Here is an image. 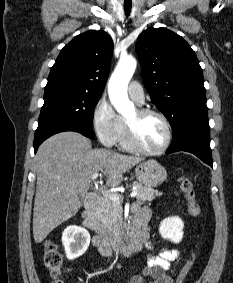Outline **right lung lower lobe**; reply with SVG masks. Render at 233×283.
I'll return each instance as SVG.
<instances>
[{"mask_svg":"<svg viewBox=\"0 0 233 283\" xmlns=\"http://www.w3.org/2000/svg\"><path fill=\"white\" fill-rule=\"evenodd\" d=\"M64 131H75L79 132L82 135L93 139L94 134L92 132V129L72 124L69 122H52L47 123L42 126H38L36 132H35V138H34V150L37 151L39 145L46 140L48 137Z\"/></svg>","mask_w":233,"mask_h":283,"instance_id":"obj_1","label":"right lung lower lobe"}]
</instances>
